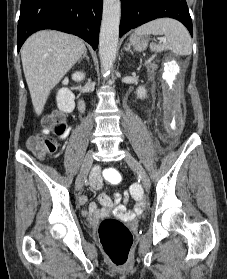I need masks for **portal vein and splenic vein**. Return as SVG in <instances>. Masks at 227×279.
<instances>
[{
	"label": "portal vein and splenic vein",
	"mask_w": 227,
	"mask_h": 279,
	"mask_svg": "<svg viewBox=\"0 0 227 279\" xmlns=\"http://www.w3.org/2000/svg\"><path fill=\"white\" fill-rule=\"evenodd\" d=\"M162 40L164 41V39H162ZM155 57H156V55H153L146 63H150L152 61V59H154Z\"/></svg>",
	"instance_id": "obj_1"
}]
</instances>
